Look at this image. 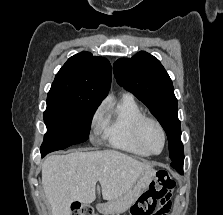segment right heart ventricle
<instances>
[{
    "label": "right heart ventricle",
    "instance_id": "e07e8e85",
    "mask_svg": "<svg viewBox=\"0 0 223 215\" xmlns=\"http://www.w3.org/2000/svg\"><path fill=\"white\" fill-rule=\"evenodd\" d=\"M143 116L137 102L131 96L124 95L115 106L103 111V125L96 133L114 148L143 156L135 139L136 123Z\"/></svg>",
    "mask_w": 223,
    "mask_h": 215
}]
</instances>
